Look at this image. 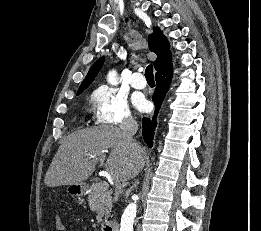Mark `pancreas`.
<instances>
[{
  "mask_svg": "<svg viewBox=\"0 0 261 231\" xmlns=\"http://www.w3.org/2000/svg\"><path fill=\"white\" fill-rule=\"evenodd\" d=\"M88 202L91 211L96 212L98 223H103L110 217L112 208L111 192L100 188V182L92 184L89 189Z\"/></svg>",
  "mask_w": 261,
  "mask_h": 231,
  "instance_id": "obj_1",
  "label": "pancreas"
}]
</instances>
